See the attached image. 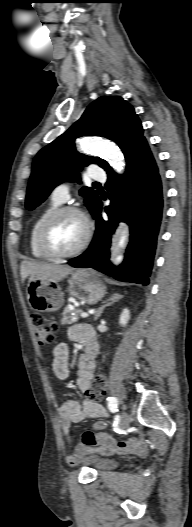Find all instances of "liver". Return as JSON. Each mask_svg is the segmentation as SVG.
<instances>
[{"label":"liver","mask_w":192,"mask_h":527,"mask_svg":"<svg viewBox=\"0 0 192 527\" xmlns=\"http://www.w3.org/2000/svg\"><path fill=\"white\" fill-rule=\"evenodd\" d=\"M74 268L67 265L50 264L46 262L24 260L21 263L20 275L22 282L28 277L38 280L58 283L69 275Z\"/></svg>","instance_id":"obj_1"}]
</instances>
